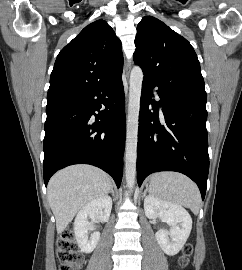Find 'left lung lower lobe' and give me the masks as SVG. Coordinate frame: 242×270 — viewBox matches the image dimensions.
Here are the masks:
<instances>
[{
  "instance_id": "0a47b994",
  "label": "left lung lower lobe",
  "mask_w": 242,
  "mask_h": 270,
  "mask_svg": "<svg viewBox=\"0 0 242 270\" xmlns=\"http://www.w3.org/2000/svg\"><path fill=\"white\" fill-rule=\"evenodd\" d=\"M155 86L143 79L137 144L138 185L153 172L177 171L198 185L204 199L209 171L206 99L175 97L159 88L157 103L152 99ZM159 105L163 124L159 120Z\"/></svg>"
}]
</instances>
